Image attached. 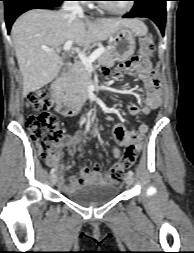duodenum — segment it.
Instances as JSON below:
<instances>
[{
  "label": "duodenum",
  "mask_w": 194,
  "mask_h": 253,
  "mask_svg": "<svg viewBox=\"0 0 194 253\" xmlns=\"http://www.w3.org/2000/svg\"><path fill=\"white\" fill-rule=\"evenodd\" d=\"M66 73H62L55 81H53L51 87L56 103V110L63 116H74L78 113L82 106V102L87 100L86 95L88 94V89L90 83L85 85H77L76 88L72 89L75 93L74 97L77 99H68L63 94V83Z\"/></svg>",
  "instance_id": "1"
}]
</instances>
